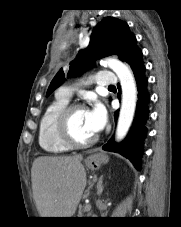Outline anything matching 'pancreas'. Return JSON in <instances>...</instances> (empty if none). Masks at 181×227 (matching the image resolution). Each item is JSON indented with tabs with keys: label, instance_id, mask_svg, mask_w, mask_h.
I'll return each instance as SVG.
<instances>
[{
	"label": "pancreas",
	"instance_id": "pancreas-1",
	"mask_svg": "<svg viewBox=\"0 0 181 227\" xmlns=\"http://www.w3.org/2000/svg\"><path fill=\"white\" fill-rule=\"evenodd\" d=\"M87 211V209L85 208V206H81L78 210V215L79 217H85L84 213Z\"/></svg>",
	"mask_w": 181,
	"mask_h": 227
}]
</instances>
